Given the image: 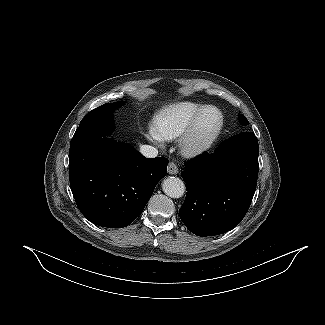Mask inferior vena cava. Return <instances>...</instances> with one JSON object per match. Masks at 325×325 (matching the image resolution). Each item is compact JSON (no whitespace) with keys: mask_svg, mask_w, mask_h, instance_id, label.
<instances>
[{"mask_svg":"<svg viewBox=\"0 0 325 325\" xmlns=\"http://www.w3.org/2000/svg\"><path fill=\"white\" fill-rule=\"evenodd\" d=\"M140 153L148 158H154L158 155V150L150 145H142L140 146Z\"/></svg>","mask_w":325,"mask_h":325,"instance_id":"602c4592","label":"inferior vena cava"}]
</instances>
